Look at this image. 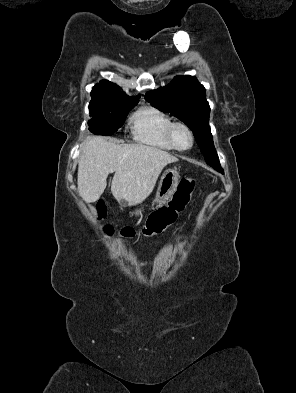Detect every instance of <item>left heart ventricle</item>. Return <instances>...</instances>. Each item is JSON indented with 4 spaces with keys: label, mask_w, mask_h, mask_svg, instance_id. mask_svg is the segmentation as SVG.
Returning a JSON list of instances; mask_svg holds the SVG:
<instances>
[{
    "label": "left heart ventricle",
    "mask_w": 296,
    "mask_h": 393,
    "mask_svg": "<svg viewBox=\"0 0 296 393\" xmlns=\"http://www.w3.org/2000/svg\"><path fill=\"white\" fill-rule=\"evenodd\" d=\"M174 138L177 145L181 148H187L191 143L188 131L183 127H177L174 132Z\"/></svg>",
    "instance_id": "1"
}]
</instances>
